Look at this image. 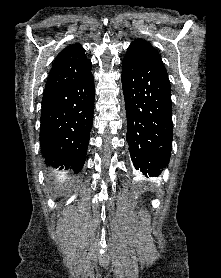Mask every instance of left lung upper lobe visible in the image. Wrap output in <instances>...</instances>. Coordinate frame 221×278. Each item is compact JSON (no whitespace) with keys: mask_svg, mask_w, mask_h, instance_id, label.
<instances>
[{"mask_svg":"<svg viewBox=\"0 0 221 278\" xmlns=\"http://www.w3.org/2000/svg\"><path fill=\"white\" fill-rule=\"evenodd\" d=\"M122 65H127L139 70L157 67L166 71L160 54L152 45L142 39L135 40L128 47Z\"/></svg>","mask_w":221,"mask_h":278,"instance_id":"obj_1","label":"left lung upper lobe"}]
</instances>
